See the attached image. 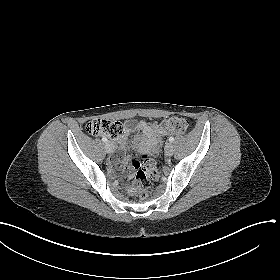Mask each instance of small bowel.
<instances>
[{
    "instance_id": "obj_1",
    "label": "small bowel",
    "mask_w": 280,
    "mask_h": 280,
    "mask_svg": "<svg viewBox=\"0 0 280 280\" xmlns=\"http://www.w3.org/2000/svg\"><path fill=\"white\" fill-rule=\"evenodd\" d=\"M131 134H134L133 141L136 149L143 156L158 152L163 135L159 132L156 123L146 121L125 122L122 134L114 140L115 145L120 149L124 148L127 143V137ZM130 160V156H124L122 159L123 163H127ZM111 163L115 164L117 160L111 159Z\"/></svg>"
}]
</instances>
